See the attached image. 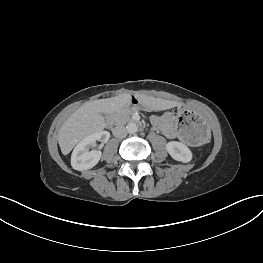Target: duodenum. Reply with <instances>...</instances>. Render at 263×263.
I'll list each match as a JSON object with an SVG mask.
<instances>
[{
    "mask_svg": "<svg viewBox=\"0 0 263 263\" xmlns=\"http://www.w3.org/2000/svg\"><path fill=\"white\" fill-rule=\"evenodd\" d=\"M114 118L112 117V116H108L107 117V125L109 126V127H113L114 126Z\"/></svg>",
    "mask_w": 263,
    "mask_h": 263,
    "instance_id": "duodenum-1",
    "label": "duodenum"
}]
</instances>
